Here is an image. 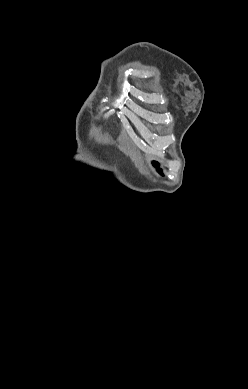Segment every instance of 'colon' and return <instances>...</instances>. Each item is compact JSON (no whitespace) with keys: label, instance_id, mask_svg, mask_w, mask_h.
Returning a JSON list of instances; mask_svg holds the SVG:
<instances>
[{"label":"colon","instance_id":"colon-1","mask_svg":"<svg viewBox=\"0 0 248 389\" xmlns=\"http://www.w3.org/2000/svg\"><path fill=\"white\" fill-rule=\"evenodd\" d=\"M151 162H152V163H155V162H156V159H155V158H152V159H151Z\"/></svg>","mask_w":248,"mask_h":389}]
</instances>
